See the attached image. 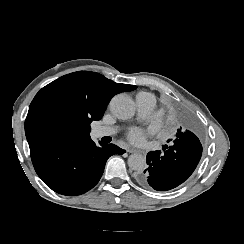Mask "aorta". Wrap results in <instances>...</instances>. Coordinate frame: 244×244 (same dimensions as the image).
Listing matches in <instances>:
<instances>
[{
  "mask_svg": "<svg viewBox=\"0 0 244 244\" xmlns=\"http://www.w3.org/2000/svg\"><path fill=\"white\" fill-rule=\"evenodd\" d=\"M112 114L120 120H128L135 114L133 101L124 95H117L110 102ZM128 166L134 171H143L147 167L146 159L141 154H132L128 157Z\"/></svg>",
  "mask_w": 244,
  "mask_h": 244,
  "instance_id": "aorta-1",
  "label": "aorta"
}]
</instances>
